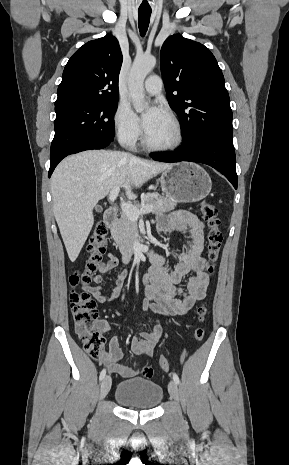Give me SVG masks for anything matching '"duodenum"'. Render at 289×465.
Instances as JSON below:
<instances>
[{"label": "duodenum", "instance_id": "1", "mask_svg": "<svg viewBox=\"0 0 289 465\" xmlns=\"http://www.w3.org/2000/svg\"><path fill=\"white\" fill-rule=\"evenodd\" d=\"M117 217H118L117 208L115 206H110L104 213L105 224L109 228H112L115 225L116 221H117ZM132 256H133V252L132 251H127L125 253V255H124L125 261L130 260V258ZM147 256H148V258L150 259L151 262H155L158 259V255L156 253H154L153 251H148Z\"/></svg>", "mask_w": 289, "mask_h": 465}]
</instances>
